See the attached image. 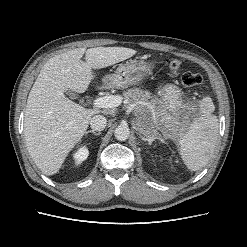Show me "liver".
Wrapping results in <instances>:
<instances>
[{"instance_id": "1", "label": "liver", "mask_w": 247, "mask_h": 247, "mask_svg": "<svg viewBox=\"0 0 247 247\" xmlns=\"http://www.w3.org/2000/svg\"><path fill=\"white\" fill-rule=\"evenodd\" d=\"M85 54V62L81 60ZM136 54L125 47L77 48L56 55L42 67L28 95L24 137L34 163L45 175L56 174L85 134L97 109H85L69 100L70 90L83 93L102 69Z\"/></svg>"}]
</instances>
